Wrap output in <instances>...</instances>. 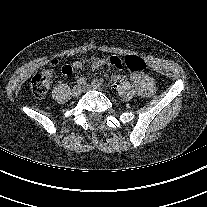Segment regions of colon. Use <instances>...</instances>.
<instances>
[{
	"mask_svg": "<svg viewBox=\"0 0 207 207\" xmlns=\"http://www.w3.org/2000/svg\"><path fill=\"white\" fill-rule=\"evenodd\" d=\"M124 64L132 72H142L147 68L146 62L136 55H127L124 58ZM62 70L69 71L70 73L72 67L70 65H64ZM52 79L53 73L51 70H44L33 76L30 83L32 94L36 98H43L49 90Z\"/></svg>",
	"mask_w": 207,
	"mask_h": 207,
	"instance_id": "colon-1",
	"label": "colon"
}]
</instances>
